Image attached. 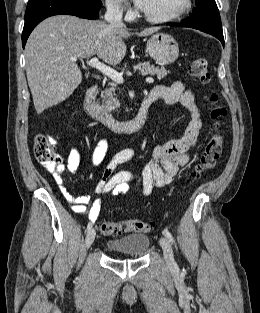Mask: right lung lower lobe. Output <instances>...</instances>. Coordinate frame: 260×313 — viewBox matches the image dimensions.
<instances>
[{"label":"right lung lower lobe","mask_w":260,"mask_h":313,"mask_svg":"<svg viewBox=\"0 0 260 313\" xmlns=\"http://www.w3.org/2000/svg\"><path fill=\"white\" fill-rule=\"evenodd\" d=\"M101 5L102 2L90 0H29L22 32L23 47L35 26L45 18L67 14L80 18L97 19Z\"/></svg>","instance_id":"98d812e1"}]
</instances>
